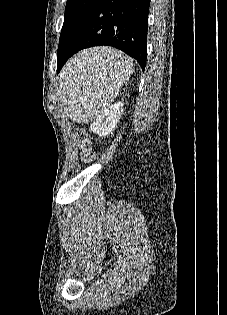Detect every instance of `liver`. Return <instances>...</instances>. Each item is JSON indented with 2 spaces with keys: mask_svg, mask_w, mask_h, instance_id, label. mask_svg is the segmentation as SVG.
<instances>
[{
  "mask_svg": "<svg viewBox=\"0 0 227 315\" xmlns=\"http://www.w3.org/2000/svg\"><path fill=\"white\" fill-rule=\"evenodd\" d=\"M102 47H99V48H95L96 50H100Z\"/></svg>",
  "mask_w": 227,
  "mask_h": 315,
  "instance_id": "6515ba94",
  "label": "liver"
}]
</instances>
